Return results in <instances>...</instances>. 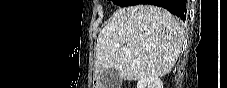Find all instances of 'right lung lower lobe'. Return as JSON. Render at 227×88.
<instances>
[{
  "instance_id": "obj_1",
  "label": "right lung lower lobe",
  "mask_w": 227,
  "mask_h": 88,
  "mask_svg": "<svg viewBox=\"0 0 227 88\" xmlns=\"http://www.w3.org/2000/svg\"><path fill=\"white\" fill-rule=\"evenodd\" d=\"M139 3L163 7L183 21L187 17V0H140Z\"/></svg>"
}]
</instances>
